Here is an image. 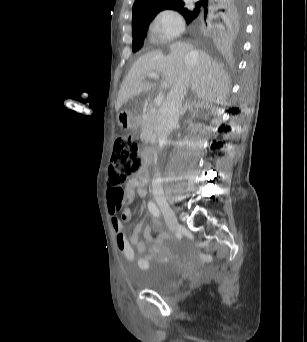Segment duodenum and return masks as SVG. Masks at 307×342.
I'll return each mask as SVG.
<instances>
[{
  "mask_svg": "<svg viewBox=\"0 0 307 342\" xmlns=\"http://www.w3.org/2000/svg\"><path fill=\"white\" fill-rule=\"evenodd\" d=\"M141 154H142V159H143V162L146 164V165H149L152 158H153V151L151 148H148V147H143L142 150H141Z\"/></svg>",
  "mask_w": 307,
  "mask_h": 342,
  "instance_id": "obj_1",
  "label": "duodenum"
}]
</instances>
